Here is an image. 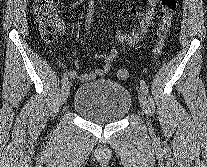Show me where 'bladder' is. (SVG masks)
Masks as SVG:
<instances>
[{
    "instance_id": "1",
    "label": "bladder",
    "mask_w": 207,
    "mask_h": 167,
    "mask_svg": "<svg viewBox=\"0 0 207 167\" xmlns=\"http://www.w3.org/2000/svg\"><path fill=\"white\" fill-rule=\"evenodd\" d=\"M132 98L127 88L111 80H98L81 85L73 107L82 117L96 123L123 119L130 111Z\"/></svg>"
}]
</instances>
